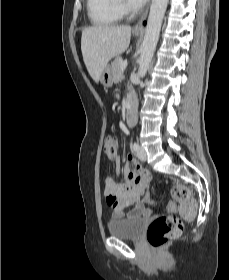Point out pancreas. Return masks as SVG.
I'll list each match as a JSON object with an SVG mask.
<instances>
[{"label": "pancreas", "instance_id": "1", "mask_svg": "<svg viewBox=\"0 0 229 280\" xmlns=\"http://www.w3.org/2000/svg\"><path fill=\"white\" fill-rule=\"evenodd\" d=\"M123 60L121 57H116L114 61L112 62L111 69L113 73V81L115 83H118L123 75V70L121 69V64Z\"/></svg>", "mask_w": 229, "mask_h": 280}]
</instances>
